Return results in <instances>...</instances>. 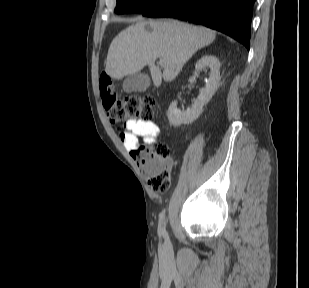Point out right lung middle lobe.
Returning <instances> with one entry per match:
<instances>
[{
  "instance_id": "dd1d6c3e",
  "label": "right lung middle lobe",
  "mask_w": 309,
  "mask_h": 288,
  "mask_svg": "<svg viewBox=\"0 0 309 288\" xmlns=\"http://www.w3.org/2000/svg\"><path fill=\"white\" fill-rule=\"evenodd\" d=\"M163 0H117L115 12L117 14L125 13H143Z\"/></svg>"
}]
</instances>
